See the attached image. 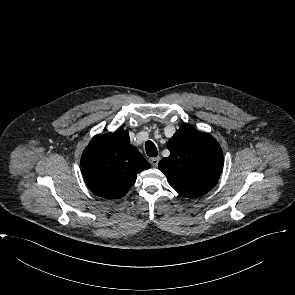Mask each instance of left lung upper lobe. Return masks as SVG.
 Here are the masks:
<instances>
[{"label":"left lung upper lobe","mask_w":295,"mask_h":295,"mask_svg":"<svg viewBox=\"0 0 295 295\" xmlns=\"http://www.w3.org/2000/svg\"><path fill=\"white\" fill-rule=\"evenodd\" d=\"M167 148L170 156L163 158L158 167L181 196L198 197L215 186L224 159L220 145L211 135L184 125L169 140Z\"/></svg>","instance_id":"left-lung-upper-lobe-1"}]
</instances>
